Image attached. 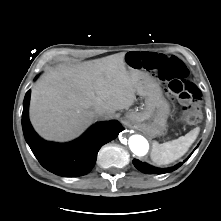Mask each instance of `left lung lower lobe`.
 Segmentation results:
<instances>
[{
  "label": "left lung lower lobe",
  "mask_w": 221,
  "mask_h": 221,
  "mask_svg": "<svg viewBox=\"0 0 221 221\" xmlns=\"http://www.w3.org/2000/svg\"><path fill=\"white\" fill-rule=\"evenodd\" d=\"M133 164H134V166L138 170H140L141 172L146 173V174H154V173L163 174V173H168V172H172V171L178 169L182 165V163H179L175 167H172V168L158 169V168H154V167H152V166H150V165H148L146 163H142L141 161H139L137 159L133 160Z\"/></svg>",
  "instance_id": "1"
}]
</instances>
